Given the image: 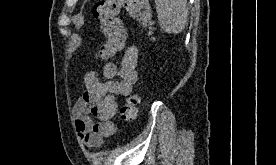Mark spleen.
Instances as JSON below:
<instances>
[{"instance_id":"obj_1","label":"spleen","mask_w":276,"mask_h":165,"mask_svg":"<svg viewBox=\"0 0 276 165\" xmlns=\"http://www.w3.org/2000/svg\"><path fill=\"white\" fill-rule=\"evenodd\" d=\"M161 29L169 34H178L185 29L188 20L187 0H155Z\"/></svg>"}]
</instances>
